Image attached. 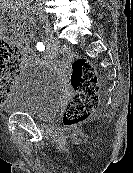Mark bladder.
Wrapping results in <instances>:
<instances>
[{
  "instance_id": "31cf9c89",
  "label": "bladder",
  "mask_w": 133,
  "mask_h": 173,
  "mask_svg": "<svg viewBox=\"0 0 133 173\" xmlns=\"http://www.w3.org/2000/svg\"><path fill=\"white\" fill-rule=\"evenodd\" d=\"M63 94L64 84L59 73L47 63L33 61L20 69L8 95L0 103V110L48 120L56 114Z\"/></svg>"
}]
</instances>
